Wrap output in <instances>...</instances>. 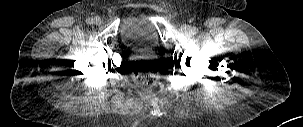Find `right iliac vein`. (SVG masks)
I'll return each mask as SVG.
<instances>
[{
    "label": "right iliac vein",
    "instance_id": "right-iliac-vein-1",
    "mask_svg": "<svg viewBox=\"0 0 303 127\" xmlns=\"http://www.w3.org/2000/svg\"><path fill=\"white\" fill-rule=\"evenodd\" d=\"M102 19L100 17H95L94 18V24H96L97 26L102 24Z\"/></svg>",
    "mask_w": 303,
    "mask_h": 127
}]
</instances>
